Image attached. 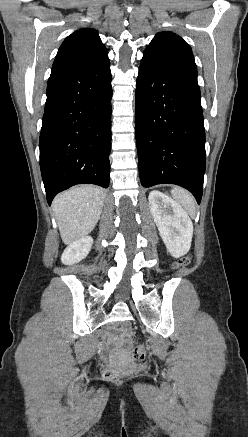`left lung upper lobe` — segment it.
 Masks as SVG:
<instances>
[{"mask_svg":"<svg viewBox=\"0 0 248 437\" xmlns=\"http://www.w3.org/2000/svg\"><path fill=\"white\" fill-rule=\"evenodd\" d=\"M140 66L197 81V68L190 46L172 32L156 34L145 49Z\"/></svg>","mask_w":248,"mask_h":437,"instance_id":"1","label":"left lung upper lobe"}]
</instances>
